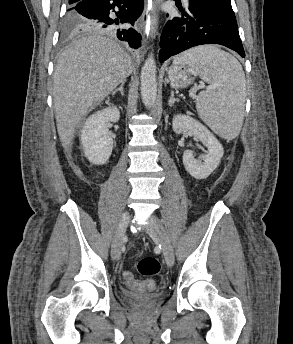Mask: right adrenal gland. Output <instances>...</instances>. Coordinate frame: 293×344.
<instances>
[{
    "label": "right adrenal gland",
    "instance_id": "2a0ac1e0",
    "mask_svg": "<svg viewBox=\"0 0 293 344\" xmlns=\"http://www.w3.org/2000/svg\"><path fill=\"white\" fill-rule=\"evenodd\" d=\"M124 84H125V82H122L120 87L118 89H115L112 92V95L114 96L119 91L121 93V95L123 96L124 95V90H123Z\"/></svg>",
    "mask_w": 293,
    "mask_h": 344
}]
</instances>
